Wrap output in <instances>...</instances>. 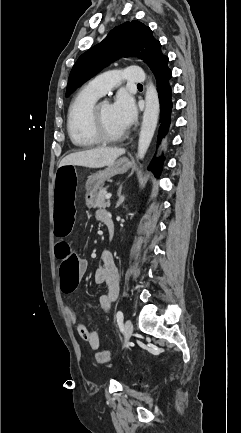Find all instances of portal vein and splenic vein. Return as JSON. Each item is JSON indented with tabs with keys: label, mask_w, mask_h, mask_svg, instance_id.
<instances>
[{
	"label": "portal vein and splenic vein",
	"mask_w": 241,
	"mask_h": 433,
	"mask_svg": "<svg viewBox=\"0 0 241 433\" xmlns=\"http://www.w3.org/2000/svg\"><path fill=\"white\" fill-rule=\"evenodd\" d=\"M111 196H112V194H111V193H108V194H106L105 198H106L107 200H109V199L111 198Z\"/></svg>",
	"instance_id": "1"
}]
</instances>
